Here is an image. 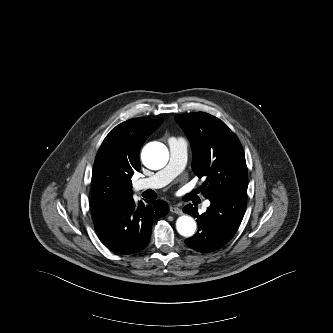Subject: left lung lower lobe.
<instances>
[{"label":"left lung lower lobe","mask_w":333,"mask_h":333,"mask_svg":"<svg viewBox=\"0 0 333 333\" xmlns=\"http://www.w3.org/2000/svg\"><path fill=\"white\" fill-rule=\"evenodd\" d=\"M211 205L199 214L191 204L183 208L185 213L197 218V233L185 240L190 248L202 252H213L227 244L236 233L243 219L247 193H223L209 198Z\"/></svg>","instance_id":"1"}]
</instances>
